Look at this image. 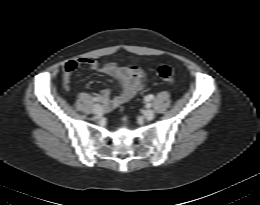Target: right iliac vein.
I'll list each match as a JSON object with an SVG mask.
<instances>
[{
	"label": "right iliac vein",
	"mask_w": 260,
	"mask_h": 205,
	"mask_svg": "<svg viewBox=\"0 0 260 205\" xmlns=\"http://www.w3.org/2000/svg\"><path fill=\"white\" fill-rule=\"evenodd\" d=\"M103 108H102V106L100 105V104H95L94 106H93V112H94V114H96V115H100V114H102L103 113Z\"/></svg>",
	"instance_id": "right-iliac-vein-1"
}]
</instances>
